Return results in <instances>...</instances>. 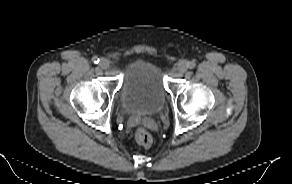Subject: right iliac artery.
I'll list each match as a JSON object with an SVG mask.
<instances>
[{
  "mask_svg": "<svg viewBox=\"0 0 292 184\" xmlns=\"http://www.w3.org/2000/svg\"><path fill=\"white\" fill-rule=\"evenodd\" d=\"M92 61H93L95 64H98V63H99V58L96 57V56H94V57L92 58Z\"/></svg>",
  "mask_w": 292,
  "mask_h": 184,
  "instance_id": "82829eb1",
  "label": "right iliac artery"
}]
</instances>
